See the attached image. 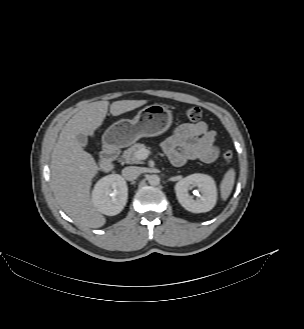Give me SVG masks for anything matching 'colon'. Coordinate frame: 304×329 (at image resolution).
Instances as JSON below:
<instances>
[{
  "label": "colon",
  "instance_id": "obj_1",
  "mask_svg": "<svg viewBox=\"0 0 304 329\" xmlns=\"http://www.w3.org/2000/svg\"><path fill=\"white\" fill-rule=\"evenodd\" d=\"M186 116L193 122L202 119V111L198 107H191L186 111ZM234 153L230 147H224L222 150V157L225 162H230L233 159Z\"/></svg>",
  "mask_w": 304,
  "mask_h": 329
}]
</instances>
